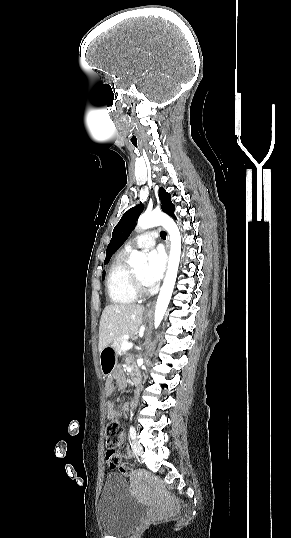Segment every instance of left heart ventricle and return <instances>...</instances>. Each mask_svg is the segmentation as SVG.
Returning a JSON list of instances; mask_svg holds the SVG:
<instances>
[{"label":"left heart ventricle","mask_w":291,"mask_h":538,"mask_svg":"<svg viewBox=\"0 0 291 538\" xmlns=\"http://www.w3.org/2000/svg\"><path fill=\"white\" fill-rule=\"evenodd\" d=\"M144 271H145V268L141 267V268L135 269L134 273L140 279V281L145 285L144 280H143Z\"/></svg>","instance_id":"obj_1"}]
</instances>
